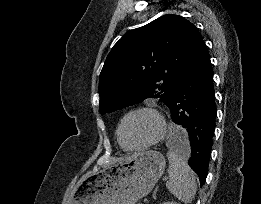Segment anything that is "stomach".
Listing matches in <instances>:
<instances>
[{"label":"stomach","instance_id":"obj_1","mask_svg":"<svg viewBox=\"0 0 261 204\" xmlns=\"http://www.w3.org/2000/svg\"><path fill=\"white\" fill-rule=\"evenodd\" d=\"M158 151H146L85 175L70 204H136L151 192L165 170Z\"/></svg>","mask_w":261,"mask_h":204}]
</instances>
